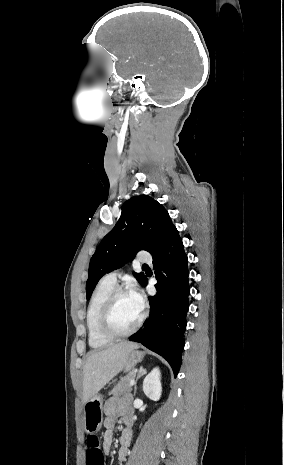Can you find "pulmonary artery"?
Listing matches in <instances>:
<instances>
[{
    "instance_id": "obj_1",
    "label": "pulmonary artery",
    "mask_w": 284,
    "mask_h": 465,
    "mask_svg": "<svg viewBox=\"0 0 284 465\" xmlns=\"http://www.w3.org/2000/svg\"><path fill=\"white\" fill-rule=\"evenodd\" d=\"M135 261L137 263H150L151 262V255L149 254V251L148 250H139L138 254L135 256ZM117 276H118L117 272H111V273H108V274L104 275L101 278V281L112 284V285H116V283L118 281Z\"/></svg>"
}]
</instances>
